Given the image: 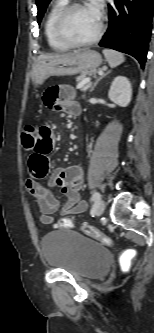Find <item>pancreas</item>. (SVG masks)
Here are the masks:
<instances>
[{
    "label": "pancreas",
    "instance_id": "pancreas-1",
    "mask_svg": "<svg viewBox=\"0 0 154 333\" xmlns=\"http://www.w3.org/2000/svg\"><path fill=\"white\" fill-rule=\"evenodd\" d=\"M97 73V70H90V71H84L76 78L77 82H81L85 79H88L89 77L95 76Z\"/></svg>",
    "mask_w": 154,
    "mask_h": 333
}]
</instances>
